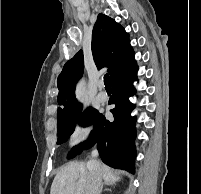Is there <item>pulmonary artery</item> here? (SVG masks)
Listing matches in <instances>:
<instances>
[{
    "label": "pulmonary artery",
    "instance_id": "e3ab8cb5",
    "mask_svg": "<svg viewBox=\"0 0 201 194\" xmlns=\"http://www.w3.org/2000/svg\"><path fill=\"white\" fill-rule=\"evenodd\" d=\"M98 99L101 102H105L108 99L107 93L104 90L100 91L98 94Z\"/></svg>",
    "mask_w": 201,
    "mask_h": 194
}]
</instances>
